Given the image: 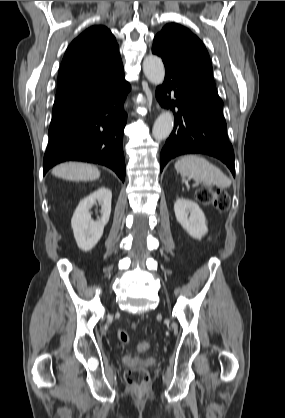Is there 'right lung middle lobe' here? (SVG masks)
I'll return each mask as SVG.
<instances>
[{"mask_svg": "<svg viewBox=\"0 0 285 418\" xmlns=\"http://www.w3.org/2000/svg\"><path fill=\"white\" fill-rule=\"evenodd\" d=\"M58 111H60V110H53V111H52V113H56V112H58Z\"/></svg>", "mask_w": 285, "mask_h": 418, "instance_id": "1", "label": "right lung middle lobe"}]
</instances>
